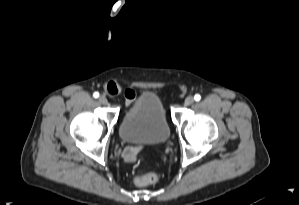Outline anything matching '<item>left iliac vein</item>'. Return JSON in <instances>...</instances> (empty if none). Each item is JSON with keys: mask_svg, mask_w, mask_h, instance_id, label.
<instances>
[{"mask_svg": "<svg viewBox=\"0 0 299 205\" xmlns=\"http://www.w3.org/2000/svg\"><path fill=\"white\" fill-rule=\"evenodd\" d=\"M193 102H194V98H193V96H188V97H186V99H185V101H184V104H185L186 106H189V105L193 104Z\"/></svg>", "mask_w": 299, "mask_h": 205, "instance_id": "4c4485c4", "label": "left iliac vein"}]
</instances>
